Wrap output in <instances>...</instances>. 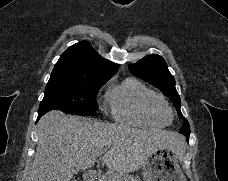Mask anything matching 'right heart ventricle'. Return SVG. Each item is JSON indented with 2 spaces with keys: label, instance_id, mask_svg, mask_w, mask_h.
<instances>
[{
  "label": "right heart ventricle",
  "instance_id": "1",
  "mask_svg": "<svg viewBox=\"0 0 228 181\" xmlns=\"http://www.w3.org/2000/svg\"><path fill=\"white\" fill-rule=\"evenodd\" d=\"M107 94L113 116L119 122L163 127L170 120L163 98L134 78L118 85L111 82Z\"/></svg>",
  "mask_w": 228,
  "mask_h": 181
}]
</instances>
